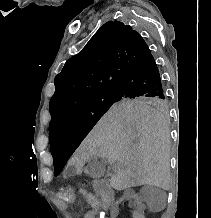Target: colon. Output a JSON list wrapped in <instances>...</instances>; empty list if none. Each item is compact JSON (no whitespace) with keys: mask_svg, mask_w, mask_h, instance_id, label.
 <instances>
[{"mask_svg":"<svg viewBox=\"0 0 211 218\" xmlns=\"http://www.w3.org/2000/svg\"><path fill=\"white\" fill-rule=\"evenodd\" d=\"M58 198L62 203L70 204L74 201L75 195L72 186L66 185L60 188Z\"/></svg>","mask_w":211,"mask_h":218,"instance_id":"1","label":"colon"}]
</instances>
